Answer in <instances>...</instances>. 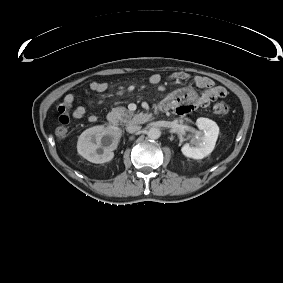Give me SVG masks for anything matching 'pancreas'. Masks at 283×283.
I'll return each mask as SVG.
<instances>
[{
    "instance_id": "pancreas-1",
    "label": "pancreas",
    "mask_w": 283,
    "mask_h": 283,
    "mask_svg": "<svg viewBox=\"0 0 283 283\" xmlns=\"http://www.w3.org/2000/svg\"><path fill=\"white\" fill-rule=\"evenodd\" d=\"M111 114L115 116L120 121V123L124 124H134L140 123L142 121L139 114H134V112L126 109L125 107L113 108Z\"/></svg>"
}]
</instances>
